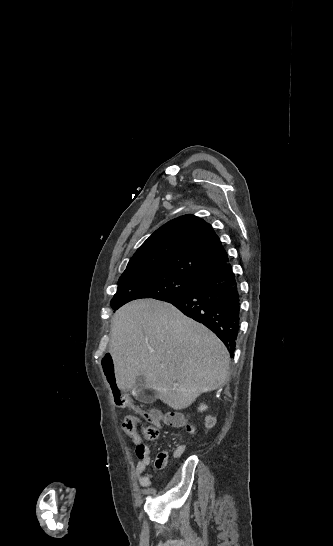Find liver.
<instances>
[{
  "label": "liver",
  "mask_w": 333,
  "mask_h": 546,
  "mask_svg": "<svg viewBox=\"0 0 333 546\" xmlns=\"http://www.w3.org/2000/svg\"><path fill=\"white\" fill-rule=\"evenodd\" d=\"M109 353L120 390L133 389L142 375L145 387L175 410L187 408L229 378V353L219 338L174 306L154 299L132 301L116 311Z\"/></svg>",
  "instance_id": "6515ba94"
}]
</instances>
